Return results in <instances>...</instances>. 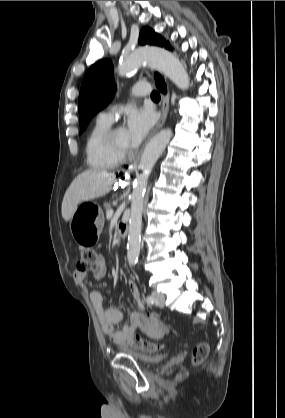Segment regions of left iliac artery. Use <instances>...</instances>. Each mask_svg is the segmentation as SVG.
Masks as SVG:
<instances>
[{
    "instance_id": "1",
    "label": "left iliac artery",
    "mask_w": 285,
    "mask_h": 418,
    "mask_svg": "<svg viewBox=\"0 0 285 418\" xmlns=\"http://www.w3.org/2000/svg\"><path fill=\"white\" fill-rule=\"evenodd\" d=\"M146 302H147L148 304H153V303H154V298H153L152 296H147V297H146Z\"/></svg>"
}]
</instances>
